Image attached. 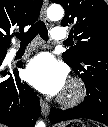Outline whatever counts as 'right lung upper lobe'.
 Wrapping results in <instances>:
<instances>
[{
	"mask_svg": "<svg viewBox=\"0 0 108 127\" xmlns=\"http://www.w3.org/2000/svg\"><path fill=\"white\" fill-rule=\"evenodd\" d=\"M43 0H0V50L10 46L14 29L23 31L39 16Z\"/></svg>",
	"mask_w": 108,
	"mask_h": 127,
	"instance_id": "1",
	"label": "right lung upper lobe"
}]
</instances>
